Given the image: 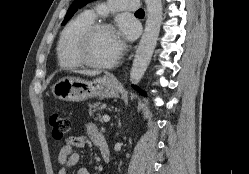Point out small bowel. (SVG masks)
<instances>
[{
	"label": "small bowel",
	"mask_w": 249,
	"mask_h": 174,
	"mask_svg": "<svg viewBox=\"0 0 249 174\" xmlns=\"http://www.w3.org/2000/svg\"><path fill=\"white\" fill-rule=\"evenodd\" d=\"M87 139H90L100 151V144L107 145V141L102 133L93 123L85 125V134L69 137L58 154V162L61 166L59 174H69L71 168L75 167L80 161V154L75 151L76 148L84 147ZM101 152V151H100ZM76 174H90L87 168L78 167Z\"/></svg>",
	"instance_id": "small-bowel-1"
}]
</instances>
